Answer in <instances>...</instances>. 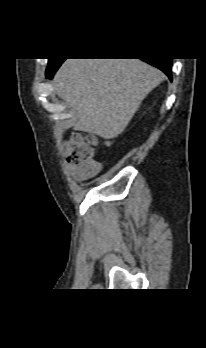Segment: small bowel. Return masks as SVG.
Here are the masks:
<instances>
[{
	"instance_id": "obj_1",
	"label": "small bowel",
	"mask_w": 206,
	"mask_h": 348,
	"mask_svg": "<svg viewBox=\"0 0 206 348\" xmlns=\"http://www.w3.org/2000/svg\"><path fill=\"white\" fill-rule=\"evenodd\" d=\"M71 177L77 182H84L97 177L103 171L100 161H91L81 167H67Z\"/></svg>"
}]
</instances>
